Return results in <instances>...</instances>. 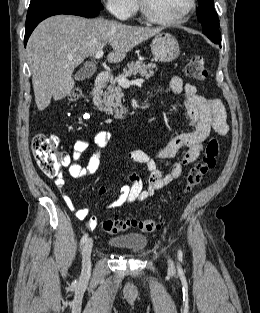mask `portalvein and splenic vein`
<instances>
[{
  "instance_id": "portal-vein-and-splenic-vein-1",
  "label": "portal vein and splenic vein",
  "mask_w": 260,
  "mask_h": 313,
  "mask_svg": "<svg viewBox=\"0 0 260 313\" xmlns=\"http://www.w3.org/2000/svg\"><path fill=\"white\" fill-rule=\"evenodd\" d=\"M103 51L100 50L98 51L96 54H95V59H100L102 56H103ZM144 79H137V80H134V81H129L128 79L122 77V78H119L118 79V84L123 87V88H128L130 85L132 84H136V85H139V84H142L144 83Z\"/></svg>"
}]
</instances>
